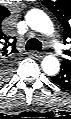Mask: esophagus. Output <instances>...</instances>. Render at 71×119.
Listing matches in <instances>:
<instances>
[{
	"mask_svg": "<svg viewBox=\"0 0 71 119\" xmlns=\"http://www.w3.org/2000/svg\"><path fill=\"white\" fill-rule=\"evenodd\" d=\"M33 55L36 56L37 58H43L44 57V54L42 52L33 51Z\"/></svg>",
	"mask_w": 71,
	"mask_h": 119,
	"instance_id": "esophagus-1",
	"label": "esophagus"
}]
</instances>
